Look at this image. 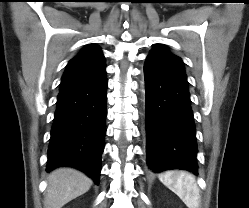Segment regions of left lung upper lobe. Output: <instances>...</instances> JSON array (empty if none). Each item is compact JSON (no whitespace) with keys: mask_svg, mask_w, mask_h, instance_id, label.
Masks as SVG:
<instances>
[{"mask_svg":"<svg viewBox=\"0 0 249 208\" xmlns=\"http://www.w3.org/2000/svg\"><path fill=\"white\" fill-rule=\"evenodd\" d=\"M148 58L161 60L184 70V63L181 58L171 53L165 45L157 44L151 50Z\"/></svg>","mask_w":249,"mask_h":208,"instance_id":"5c2ea615","label":"left lung upper lobe"}]
</instances>
